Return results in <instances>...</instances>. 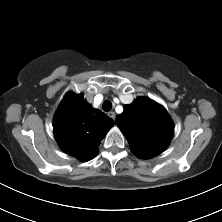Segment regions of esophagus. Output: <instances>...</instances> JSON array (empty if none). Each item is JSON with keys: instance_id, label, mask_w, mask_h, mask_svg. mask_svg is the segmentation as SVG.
Returning <instances> with one entry per match:
<instances>
[{"instance_id": "obj_1", "label": "esophagus", "mask_w": 222, "mask_h": 222, "mask_svg": "<svg viewBox=\"0 0 222 222\" xmlns=\"http://www.w3.org/2000/svg\"><path fill=\"white\" fill-rule=\"evenodd\" d=\"M108 116L111 118V119H115V116H116V114H115V112H113V111H110V112H108Z\"/></svg>"}]
</instances>
